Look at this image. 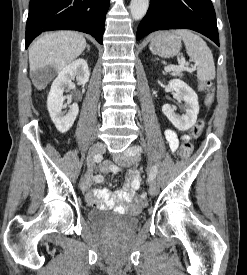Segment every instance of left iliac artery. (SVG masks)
Wrapping results in <instances>:
<instances>
[{"label":"left iliac artery","instance_id":"1","mask_svg":"<svg viewBox=\"0 0 247 275\" xmlns=\"http://www.w3.org/2000/svg\"><path fill=\"white\" fill-rule=\"evenodd\" d=\"M135 153H140L141 152V147L140 146H135L134 149ZM157 175V167L156 166H152L150 169V173H149V181H153L155 179Z\"/></svg>","mask_w":247,"mask_h":275}]
</instances>
